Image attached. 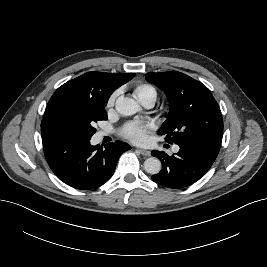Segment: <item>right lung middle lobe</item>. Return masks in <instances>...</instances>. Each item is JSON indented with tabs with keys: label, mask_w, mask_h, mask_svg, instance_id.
I'll return each mask as SVG.
<instances>
[{
	"label": "right lung middle lobe",
	"mask_w": 267,
	"mask_h": 267,
	"mask_svg": "<svg viewBox=\"0 0 267 267\" xmlns=\"http://www.w3.org/2000/svg\"><path fill=\"white\" fill-rule=\"evenodd\" d=\"M106 103L62 99L45 111L44 119L52 131L69 136L91 138L94 124L107 119Z\"/></svg>",
	"instance_id": "right-lung-middle-lobe-1"
}]
</instances>
